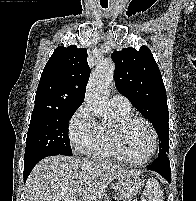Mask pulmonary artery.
<instances>
[{
  "mask_svg": "<svg viewBox=\"0 0 196 201\" xmlns=\"http://www.w3.org/2000/svg\"><path fill=\"white\" fill-rule=\"evenodd\" d=\"M111 103L115 109L129 111L131 108L129 100L121 94H115L111 99Z\"/></svg>",
  "mask_w": 196,
  "mask_h": 201,
  "instance_id": "pulmonary-artery-1",
  "label": "pulmonary artery"
}]
</instances>
